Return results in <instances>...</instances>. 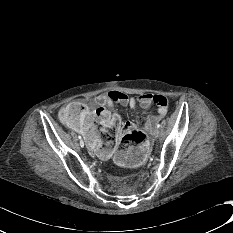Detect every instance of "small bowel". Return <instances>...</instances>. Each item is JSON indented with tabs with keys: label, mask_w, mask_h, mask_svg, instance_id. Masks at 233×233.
<instances>
[{
	"label": "small bowel",
	"mask_w": 233,
	"mask_h": 233,
	"mask_svg": "<svg viewBox=\"0 0 233 233\" xmlns=\"http://www.w3.org/2000/svg\"><path fill=\"white\" fill-rule=\"evenodd\" d=\"M77 103L83 105L82 115L79 122L69 126L84 137L90 151L101 159L112 157L118 146L123 126L119 115L109 112L106 108L111 107L114 103L130 108L140 106L143 109H149L152 105H155L157 113L149 114L145 118V125L149 131H152L157 121L165 116L168 108V100L165 96L149 93L130 96L116 90ZM98 110H104L107 113L103 116V119L97 117ZM95 121L100 124L104 133L113 132L114 138L104 140L94 124ZM149 157L148 146L141 143L132 149L118 150L115 154V161L120 166H136L147 161Z\"/></svg>",
	"instance_id": "small-bowel-1"
}]
</instances>
